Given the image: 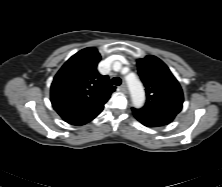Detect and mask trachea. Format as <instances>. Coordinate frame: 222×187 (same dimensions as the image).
Returning <instances> with one entry per match:
<instances>
[{"label": "trachea", "mask_w": 222, "mask_h": 187, "mask_svg": "<svg viewBox=\"0 0 222 187\" xmlns=\"http://www.w3.org/2000/svg\"><path fill=\"white\" fill-rule=\"evenodd\" d=\"M112 84L116 85V86H119L121 84V79L119 77H114L112 79Z\"/></svg>", "instance_id": "obj_1"}]
</instances>
